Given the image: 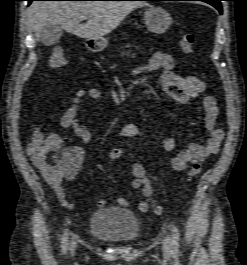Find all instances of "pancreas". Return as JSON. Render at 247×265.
I'll return each mask as SVG.
<instances>
[{
    "instance_id": "obj_1",
    "label": "pancreas",
    "mask_w": 247,
    "mask_h": 265,
    "mask_svg": "<svg viewBox=\"0 0 247 265\" xmlns=\"http://www.w3.org/2000/svg\"><path fill=\"white\" fill-rule=\"evenodd\" d=\"M126 47H130V45H127ZM121 55H123V56H124V55L129 56V55H130V51L122 52ZM131 57L134 58V57H135V54H132Z\"/></svg>"
}]
</instances>
